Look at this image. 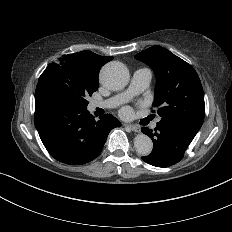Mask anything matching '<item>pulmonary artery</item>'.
Instances as JSON below:
<instances>
[{
	"label": "pulmonary artery",
	"mask_w": 232,
	"mask_h": 232,
	"mask_svg": "<svg viewBox=\"0 0 232 232\" xmlns=\"http://www.w3.org/2000/svg\"><path fill=\"white\" fill-rule=\"evenodd\" d=\"M153 80H154V72L152 69L143 68L141 70H138L135 72L134 79L127 90L112 98H107V99L103 98L102 101L94 100L92 102V107L111 109L118 104L117 100H119L120 103L125 104L128 102V100L132 99L133 96H137L140 94L143 85L150 84L153 82Z\"/></svg>",
	"instance_id": "pulmonary-artery-1"
}]
</instances>
